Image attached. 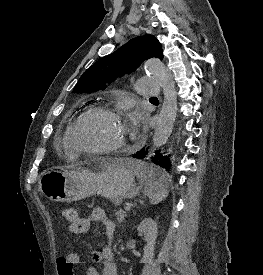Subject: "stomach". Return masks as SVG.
<instances>
[{
	"mask_svg": "<svg viewBox=\"0 0 263 275\" xmlns=\"http://www.w3.org/2000/svg\"><path fill=\"white\" fill-rule=\"evenodd\" d=\"M38 187L45 197L56 202L78 201L97 194L117 205L140 192L127 160L109 163L96 172L85 168L45 171Z\"/></svg>",
	"mask_w": 263,
	"mask_h": 275,
	"instance_id": "1",
	"label": "stomach"
}]
</instances>
